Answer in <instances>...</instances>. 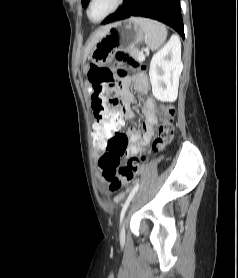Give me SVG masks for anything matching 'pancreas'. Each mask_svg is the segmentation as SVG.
<instances>
[{"label": "pancreas", "mask_w": 238, "mask_h": 278, "mask_svg": "<svg viewBox=\"0 0 238 278\" xmlns=\"http://www.w3.org/2000/svg\"><path fill=\"white\" fill-rule=\"evenodd\" d=\"M129 52L132 57L139 59V56L141 53L138 51V49L134 48V49L130 50Z\"/></svg>", "instance_id": "pancreas-1"}]
</instances>
